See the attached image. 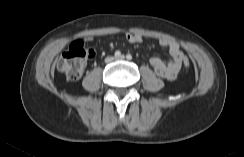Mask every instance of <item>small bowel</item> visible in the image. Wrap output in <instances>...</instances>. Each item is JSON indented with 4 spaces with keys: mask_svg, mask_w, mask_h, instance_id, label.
I'll list each match as a JSON object with an SVG mask.
<instances>
[{
    "mask_svg": "<svg viewBox=\"0 0 244 157\" xmlns=\"http://www.w3.org/2000/svg\"><path fill=\"white\" fill-rule=\"evenodd\" d=\"M125 38L132 44L142 42V36L138 34L127 33ZM88 40H91V38H88ZM159 44L169 50V59L165 61L159 57H152L150 59V65L157 76L167 80H173L177 77L181 69L184 54L179 44L171 38L162 37L159 39Z\"/></svg>",
    "mask_w": 244,
    "mask_h": 157,
    "instance_id": "c3829d8e",
    "label": "small bowel"
}]
</instances>
